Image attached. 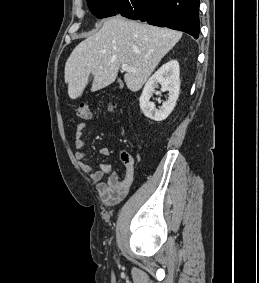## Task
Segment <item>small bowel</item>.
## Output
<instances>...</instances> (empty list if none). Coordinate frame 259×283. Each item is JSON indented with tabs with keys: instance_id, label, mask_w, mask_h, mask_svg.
<instances>
[{
	"instance_id": "c3829d8e",
	"label": "small bowel",
	"mask_w": 259,
	"mask_h": 283,
	"mask_svg": "<svg viewBox=\"0 0 259 283\" xmlns=\"http://www.w3.org/2000/svg\"><path fill=\"white\" fill-rule=\"evenodd\" d=\"M85 124H77L75 132V159L79 168L88 174L89 178L96 184V190L100 198L106 203L121 201L128 193L134 175V164L125 163V176L111 170L110 165L103 163L99 170H95L90 164L84 161L86 143L84 140ZM100 154L108 157L111 151L108 147H101ZM106 177V179H104Z\"/></svg>"
}]
</instances>
